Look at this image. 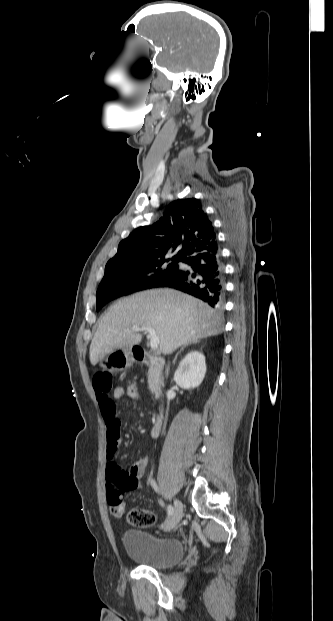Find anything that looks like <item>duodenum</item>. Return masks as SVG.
Instances as JSON below:
<instances>
[{
    "mask_svg": "<svg viewBox=\"0 0 333 621\" xmlns=\"http://www.w3.org/2000/svg\"><path fill=\"white\" fill-rule=\"evenodd\" d=\"M133 358L136 362L151 367L156 373V383H157V394L158 396H162L164 380H163V370H164V361L161 358L155 357L143 349L134 348L133 349ZM164 409L158 418L156 419L154 425L152 426L151 433L153 436L159 435L161 432L163 422H164Z\"/></svg>",
    "mask_w": 333,
    "mask_h": 621,
    "instance_id": "obj_1",
    "label": "duodenum"
}]
</instances>
